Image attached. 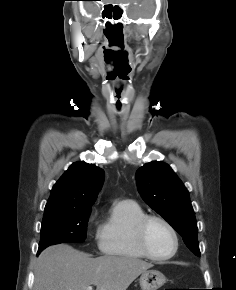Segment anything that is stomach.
Returning <instances> with one entry per match:
<instances>
[{"label":"stomach","instance_id":"stomach-1","mask_svg":"<svg viewBox=\"0 0 236 290\" xmlns=\"http://www.w3.org/2000/svg\"><path fill=\"white\" fill-rule=\"evenodd\" d=\"M139 283L142 290H157L166 283V277L157 270H146L141 273Z\"/></svg>","mask_w":236,"mask_h":290}]
</instances>
